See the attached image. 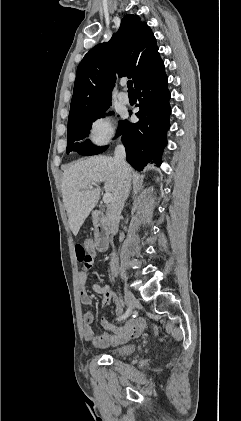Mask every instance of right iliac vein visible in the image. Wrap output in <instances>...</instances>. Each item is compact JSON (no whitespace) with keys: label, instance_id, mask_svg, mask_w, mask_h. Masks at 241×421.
Listing matches in <instances>:
<instances>
[{"label":"right iliac vein","instance_id":"63e3f726","mask_svg":"<svg viewBox=\"0 0 241 421\" xmlns=\"http://www.w3.org/2000/svg\"><path fill=\"white\" fill-rule=\"evenodd\" d=\"M125 300H126L128 309L130 310V313H131L137 303V300L135 296L128 290L125 291Z\"/></svg>","mask_w":241,"mask_h":421}]
</instances>
